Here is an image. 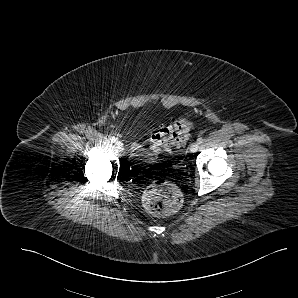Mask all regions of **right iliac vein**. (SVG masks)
I'll return each mask as SVG.
<instances>
[{
    "mask_svg": "<svg viewBox=\"0 0 298 298\" xmlns=\"http://www.w3.org/2000/svg\"><path fill=\"white\" fill-rule=\"evenodd\" d=\"M116 147H117V149H118L119 151L124 150V145H123V143H122L121 141H117V142H116Z\"/></svg>",
    "mask_w": 298,
    "mask_h": 298,
    "instance_id": "1",
    "label": "right iliac vein"
}]
</instances>
